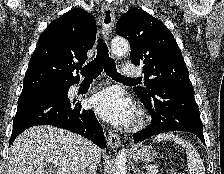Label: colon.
Instances as JSON below:
<instances>
[{"label": "colon", "instance_id": "obj_1", "mask_svg": "<svg viewBox=\"0 0 224 174\" xmlns=\"http://www.w3.org/2000/svg\"><path fill=\"white\" fill-rule=\"evenodd\" d=\"M172 174H179V173L173 172Z\"/></svg>", "mask_w": 224, "mask_h": 174}]
</instances>
